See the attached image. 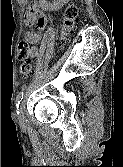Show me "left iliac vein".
<instances>
[{
	"mask_svg": "<svg viewBox=\"0 0 123 167\" xmlns=\"http://www.w3.org/2000/svg\"><path fill=\"white\" fill-rule=\"evenodd\" d=\"M18 121L19 123H24V116L22 114L21 108H19Z\"/></svg>",
	"mask_w": 123,
	"mask_h": 167,
	"instance_id": "4c4485c4",
	"label": "left iliac vein"
}]
</instances>
